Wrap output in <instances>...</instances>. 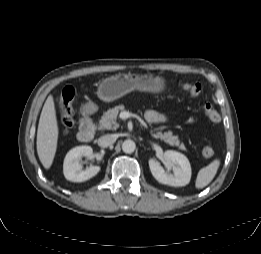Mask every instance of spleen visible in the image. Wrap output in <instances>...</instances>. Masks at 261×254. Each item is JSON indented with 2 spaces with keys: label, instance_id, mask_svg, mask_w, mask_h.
Returning <instances> with one entry per match:
<instances>
[{
  "label": "spleen",
  "instance_id": "1",
  "mask_svg": "<svg viewBox=\"0 0 261 254\" xmlns=\"http://www.w3.org/2000/svg\"><path fill=\"white\" fill-rule=\"evenodd\" d=\"M220 166V160L215 159L206 167L199 170L195 186L197 189H202L206 187L215 177L217 170Z\"/></svg>",
  "mask_w": 261,
  "mask_h": 254
}]
</instances>
